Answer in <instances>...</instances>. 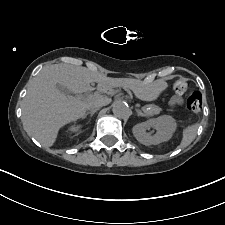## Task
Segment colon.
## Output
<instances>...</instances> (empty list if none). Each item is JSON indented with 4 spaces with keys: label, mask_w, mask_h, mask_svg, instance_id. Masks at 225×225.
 Wrapping results in <instances>:
<instances>
[{
    "label": "colon",
    "mask_w": 225,
    "mask_h": 225,
    "mask_svg": "<svg viewBox=\"0 0 225 225\" xmlns=\"http://www.w3.org/2000/svg\"><path fill=\"white\" fill-rule=\"evenodd\" d=\"M189 87V82L184 78L177 79L173 85V89L177 94L185 93ZM187 107L193 113H199L202 110L203 97L200 92L194 91L191 93L187 100Z\"/></svg>",
    "instance_id": "1"
}]
</instances>
